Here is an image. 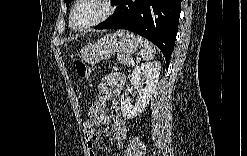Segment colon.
Returning a JSON list of instances; mask_svg holds the SVG:
<instances>
[{
	"label": "colon",
	"mask_w": 247,
	"mask_h": 156,
	"mask_svg": "<svg viewBox=\"0 0 247 156\" xmlns=\"http://www.w3.org/2000/svg\"><path fill=\"white\" fill-rule=\"evenodd\" d=\"M76 72L78 76L87 81L89 83V86L92 88L93 84L91 82L90 70L84 62L79 61L76 63ZM104 103H106V98H94L93 107H91V110L88 114V117L91 118L92 121H95L96 118L101 117V114L98 112H100V109H102Z\"/></svg>",
	"instance_id": "1"
}]
</instances>
